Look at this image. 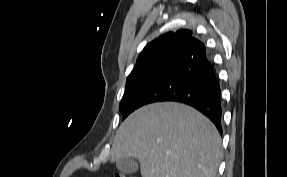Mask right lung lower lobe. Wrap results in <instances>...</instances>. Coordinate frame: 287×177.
<instances>
[{
	"instance_id": "right-lung-lower-lobe-1",
	"label": "right lung lower lobe",
	"mask_w": 287,
	"mask_h": 177,
	"mask_svg": "<svg viewBox=\"0 0 287 177\" xmlns=\"http://www.w3.org/2000/svg\"><path fill=\"white\" fill-rule=\"evenodd\" d=\"M198 42H200L198 40ZM198 55L180 62L154 80L127 108L124 116L152 102L175 101L207 116L222 134L221 90L212 61L202 42Z\"/></svg>"
}]
</instances>
